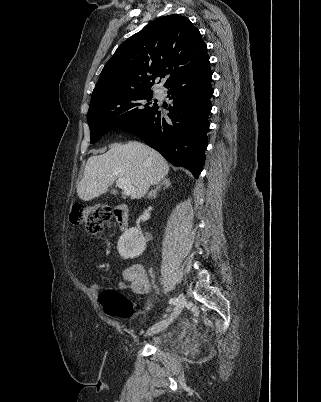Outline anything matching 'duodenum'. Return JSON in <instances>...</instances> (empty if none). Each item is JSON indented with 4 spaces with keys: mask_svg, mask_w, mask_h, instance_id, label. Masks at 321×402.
<instances>
[{
    "mask_svg": "<svg viewBox=\"0 0 321 402\" xmlns=\"http://www.w3.org/2000/svg\"><path fill=\"white\" fill-rule=\"evenodd\" d=\"M114 217L118 227L125 230L129 225V210L125 205H120L114 211Z\"/></svg>",
    "mask_w": 321,
    "mask_h": 402,
    "instance_id": "410a0bca",
    "label": "duodenum"
}]
</instances>
